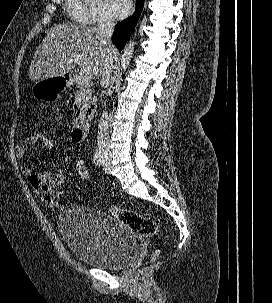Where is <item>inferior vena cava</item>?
<instances>
[{"instance_id":"1","label":"inferior vena cava","mask_w":272,"mask_h":303,"mask_svg":"<svg viewBox=\"0 0 272 303\" xmlns=\"http://www.w3.org/2000/svg\"><path fill=\"white\" fill-rule=\"evenodd\" d=\"M97 31L100 34L103 43L106 47H109L111 43L112 34L114 31V21L110 15H102L97 24ZM106 62L104 65L103 75L101 79V85L103 87H109L111 82V73L113 66V56L109 48L106 52ZM97 146L100 158L102 160L111 159V150L109 147V119L108 113L104 111L102 113L99 125H98V134H97Z\"/></svg>"}]
</instances>
